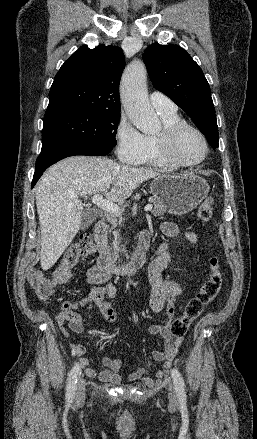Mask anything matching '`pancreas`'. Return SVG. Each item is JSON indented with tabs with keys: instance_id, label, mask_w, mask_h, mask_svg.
Returning a JSON list of instances; mask_svg holds the SVG:
<instances>
[{
	"instance_id": "1",
	"label": "pancreas",
	"mask_w": 257,
	"mask_h": 439,
	"mask_svg": "<svg viewBox=\"0 0 257 439\" xmlns=\"http://www.w3.org/2000/svg\"><path fill=\"white\" fill-rule=\"evenodd\" d=\"M150 202H152L153 205H154V208L152 210V214L154 216H160V215L164 214L167 211L166 206L158 198L151 197L150 198ZM118 246H119V233L118 232H114V240H113V243H112L111 250H114V251L117 250Z\"/></svg>"
}]
</instances>
